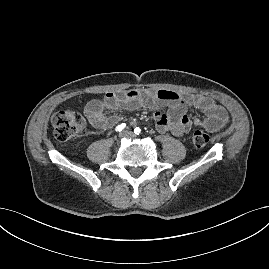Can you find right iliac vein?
I'll list each match as a JSON object with an SVG mask.
<instances>
[{
    "instance_id": "63e3f726",
    "label": "right iliac vein",
    "mask_w": 269,
    "mask_h": 269,
    "mask_svg": "<svg viewBox=\"0 0 269 269\" xmlns=\"http://www.w3.org/2000/svg\"><path fill=\"white\" fill-rule=\"evenodd\" d=\"M123 136H124L123 133H120V134H119V137H123Z\"/></svg>"
}]
</instances>
